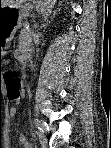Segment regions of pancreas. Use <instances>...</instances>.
I'll return each instance as SVG.
<instances>
[{"label":"pancreas","mask_w":111,"mask_h":148,"mask_svg":"<svg viewBox=\"0 0 111 148\" xmlns=\"http://www.w3.org/2000/svg\"><path fill=\"white\" fill-rule=\"evenodd\" d=\"M29 36H31L30 33L26 32V31H21V39L27 41L28 43H29V39H30Z\"/></svg>","instance_id":"1"}]
</instances>
